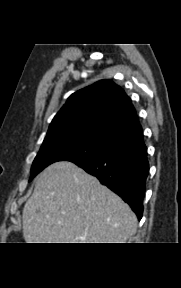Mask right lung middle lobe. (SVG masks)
Returning <instances> with one entry per match:
<instances>
[{
    "label": "right lung middle lobe",
    "instance_id": "1",
    "mask_svg": "<svg viewBox=\"0 0 181 288\" xmlns=\"http://www.w3.org/2000/svg\"><path fill=\"white\" fill-rule=\"evenodd\" d=\"M106 152L108 151L105 147L79 137L44 140L33 161L29 181L54 162L72 161L78 158L101 155Z\"/></svg>",
    "mask_w": 181,
    "mask_h": 288
}]
</instances>
